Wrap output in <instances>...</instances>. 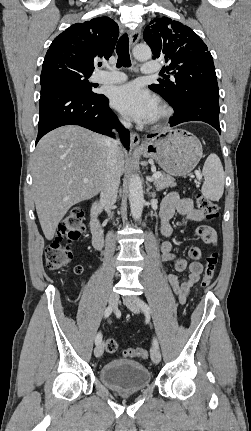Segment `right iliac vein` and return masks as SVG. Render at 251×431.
<instances>
[{
	"mask_svg": "<svg viewBox=\"0 0 251 431\" xmlns=\"http://www.w3.org/2000/svg\"><path fill=\"white\" fill-rule=\"evenodd\" d=\"M118 300H119V295L116 292L112 291L109 294V298H108L110 307L115 308L118 304ZM103 352H104V345L103 343H99L94 349V354L96 357H101Z\"/></svg>",
	"mask_w": 251,
	"mask_h": 431,
	"instance_id": "63e3f726",
	"label": "right iliac vein"
}]
</instances>
